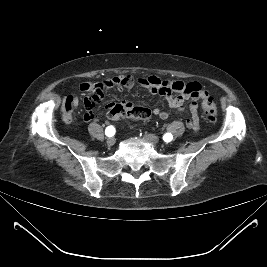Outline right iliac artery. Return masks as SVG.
<instances>
[{"label":"right iliac artery","instance_id":"right-iliac-artery-1","mask_svg":"<svg viewBox=\"0 0 267 267\" xmlns=\"http://www.w3.org/2000/svg\"><path fill=\"white\" fill-rule=\"evenodd\" d=\"M105 134L108 136V137H111L115 134V128L113 126H108L105 130Z\"/></svg>","mask_w":267,"mask_h":267}]
</instances>
